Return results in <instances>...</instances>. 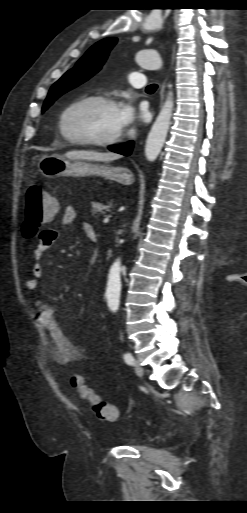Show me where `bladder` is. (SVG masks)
Returning <instances> with one entry per match:
<instances>
[{"instance_id":"bladder-1","label":"bladder","mask_w":247,"mask_h":513,"mask_svg":"<svg viewBox=\"0 0 247 513\" xmlns=\"http://www.w3.org/2000/svg\"><path fill=\"white\" fill-rule=\"evenodd\" d=\"M121 445H124V446H125V445H126V446H132L133 444H132V443H129V442H123V443H121Z\"/></svg>"}]
</instances>
